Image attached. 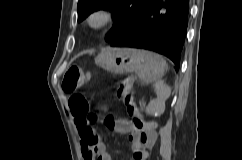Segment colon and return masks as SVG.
<instances>
[{"label":"colon","instance_id":"5ec220e1","mask_svg":"<svg viewBox=\"0 0 242 160\" xmlns=\"http://www.w3.org/2000/svg\"><path fill=\"white\" fill-rule=\"evenodd\" d=\"M88 75L85 73L82 66L73 65L65 73L62 81V89L66 93H71L69 99V108L78 119L79 126L88 128L82 132V136L86 141L96 140V135L93 132L92 122L97 120L95 114H90L89 103L87 99L77 92L79 88L87 81ZM116 92L122 99L127 113L131 118L140 115L138 107L133 98L132 81L130 78L122 79L116 88Z\"/></svg>","mask_w":242,"mask_h":160}]
</instances>
